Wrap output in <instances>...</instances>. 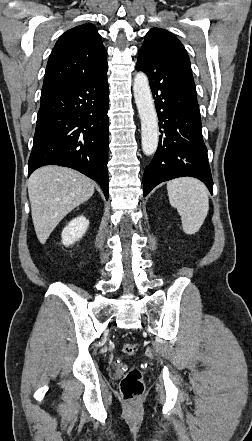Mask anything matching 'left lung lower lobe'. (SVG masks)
I'll return each instance as SVG.
<instances>
[{"mask_svg": "<svg viewBox=\"0 0 252 441\" xmlns=\"http://www.w3.org/2000/svg\"><path fill=\"white\" fill-rule=\"evenodd\" d=\"M137 70L149 77L161 136L157 151L145 168L144 196L156 185L177 177L200 179L212 193L213 181L190 61L177 52L139 56Z\"/></svg>", "mask_w": 252, "mask_h": 441, "instance_id": "0a47b994", "label": "left lung lower lobe"}]
</instances>
